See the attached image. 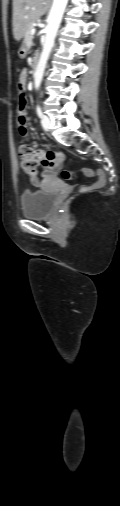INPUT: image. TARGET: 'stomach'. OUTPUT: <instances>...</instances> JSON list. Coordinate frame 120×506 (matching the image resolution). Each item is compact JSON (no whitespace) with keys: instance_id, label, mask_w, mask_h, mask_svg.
Wrapping results in <instances>:
<instances>
[{"instance_id":"stomach-1","label":"stomach","mask_w":120,"mask_h":506,"mask_svg":"<svg viewBox=\"0 0 120 506\" xmlns=\"http://www.w3.org/2000/svg\"><path fill=\"white\" fill-rule=\"evenodd\" d=\"M27 49H28V48L26 47V45H25V44H23V45L21 46V48L19 49V51H18V55H19L21 58H24V57L26 56V54H27Z\"/></svg>"}]
</instances>
